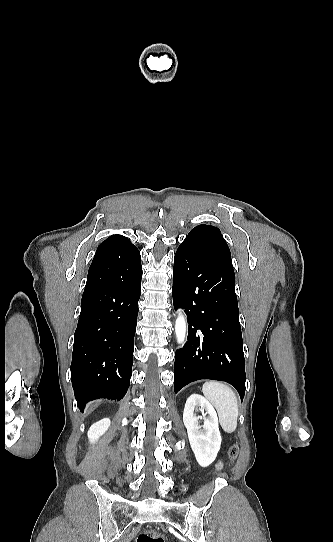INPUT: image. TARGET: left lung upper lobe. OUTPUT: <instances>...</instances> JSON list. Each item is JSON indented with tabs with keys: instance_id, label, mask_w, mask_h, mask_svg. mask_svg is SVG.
Listing matches in <instances>:
<instances>
[{
	"instance_id": "left-lung-upper-lobe-1",
	"label": "left lung upper lobe",
	"mask_w": 333,
	"mask_h": 542,
	"mask_svg": "<svg viewBox=\"0 0 333 542\" xmlns=\"http://www.w3.org/2000/svg\"><path fill=\"white\" fill-rule=\"evenodd\" d=\"M182 243L192 245L209 259L225 262L232 266L230 249L220 230L214 226L205 224L196 226Z\"/></svg>"
}]
</instances>
